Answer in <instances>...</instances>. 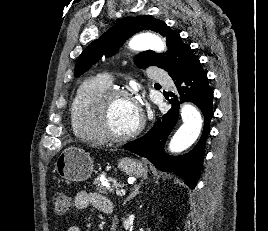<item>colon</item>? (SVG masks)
<instances>
[{
    "label": "colon",
    "mask_w": 268,
    "mask_h": 231,
    "mask_svg": "<svg viewBox=\"0 0 268 231\" xmlns=\"http://www.w3.org/2000/svg\"><path fill=\"white\" fill-rule=\"evenodd\" d=\"M54 210L57 214L66 213L71 206L69 197L63 192H56L53 196Z\"/></svg>",
    "instance_id": "5ec220e1"
}]
</instances>
